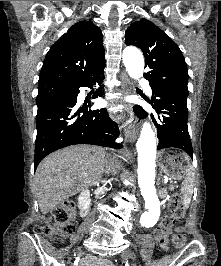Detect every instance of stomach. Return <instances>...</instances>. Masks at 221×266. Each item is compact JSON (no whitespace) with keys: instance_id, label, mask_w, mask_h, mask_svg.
I'll use <instances>...</instances> for the list:
<instances>
[{"instance_id":"stomach-1","label":"stomach","mask_w":221,"mask_h":266,"mask_svg":"<svg viewBox=\"0 0 221 266\" xmlns=\"http://www.w3.org/2000/svg\"><path fill=\"white\" fill-rule=\"evenodd\" d=\"M160 169L174 180H181L189 172L188 156L175 149L162 150L158 154Z\"/></svg>"}]
</instances>
